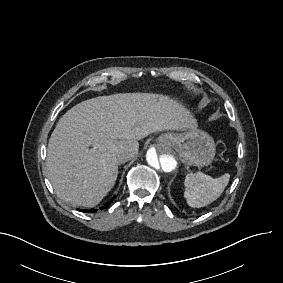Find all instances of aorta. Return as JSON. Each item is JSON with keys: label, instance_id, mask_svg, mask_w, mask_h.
I'll return each mask as SVG.
<instances>
[{"label": "aorta", "instance_id": "762f6f07", "mask_svg": "<svg viewBox=\"0 0 283 283\" xmlns=\"http://www.w3.org/2000/svg\"><path fill=\"white\" fill-rule=\"evenodd\" d=\"M146 161L149 171L160 179L173 174L178 167L175 152L165 144H155L148 149Z\"/></svg>", "mask_w": 283, "mask_h": 283}]
</instances>
